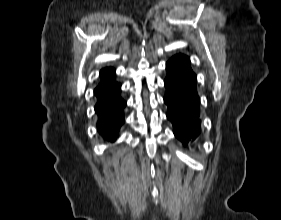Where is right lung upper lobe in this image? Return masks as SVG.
Wrapping results in <instances>:
<instances>
[{
  "instance_id": "right-lung-upper-lobe-1",
  "label": "right lung upper lobe",
  "mask_w": 281,
  "mask_h": 220,
  "mask_svg": "<svg viewBox=\"0 0 281 220\" xmlns=\"http://www.w3.org/2000/svg\"><path fill=\"white\" fill-rule=\"evenodd\" d=\"M115 70L111 67L105 68L100 71L101 82L99 85H105L115 82L114 80Z\"/></svg>"
}]
</instances>
